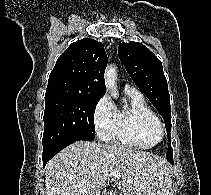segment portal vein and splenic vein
Returning <instances> with one entry per match:
<instances>
[{"mask_svg": "<svg viewBox=\"0 0 211 195\" xmlns=\"http://www.w3.org/2000/svg\"><path fill=\"white\" fill-rule=\"evenodd\" d=\"M110 176L115 177V178H119L120 177V173L112 172Z\"/></svg>", "mask_w": 211, "mask_h": 195, "instance_id": "1", "label": "portal vein and splenic vein"}]
</instances>
